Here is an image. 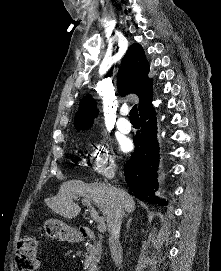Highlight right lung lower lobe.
Segmentation results:
<instances>
[{
  "label": "right lung lower lobe",
  "instance_id": "right-lung-lower-lobe-1",
  "mask_svg": "<svg viewBox=\"0 0 221 271\" xmlns=\"http://www.w3.org/2000/svg\"><path fill=\"white\" fill-rule=\"evenodd\" d=\"M141 130L133 138L135 152L125 165V178L134 194L152 204L165 205L164 200L154 195L157 190L159 146L156 139V115L153 107L140 114Z\"/></svg>",
  "mask_w": 221,
  "mask_h": 271
}]
</instances>
